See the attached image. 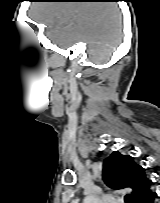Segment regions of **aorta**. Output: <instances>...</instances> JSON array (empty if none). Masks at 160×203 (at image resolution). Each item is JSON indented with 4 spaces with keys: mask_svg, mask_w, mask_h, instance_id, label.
<instances>
[{
    "mask_svg": "<svg viewBox=\"0 0 160 203\" xmlns=\"http://www.w3.org/2000/svg\"><path fill=\"white\" fill-rule=\"evenodd\" d=\"M83 203H100V200L93 195L87 196Z\"/></svg>",
    "mask_w": 160,
    "mask_h": 203,
    "instance_id": "obj_1",
    "label": "aorta"
}]
</instances>
